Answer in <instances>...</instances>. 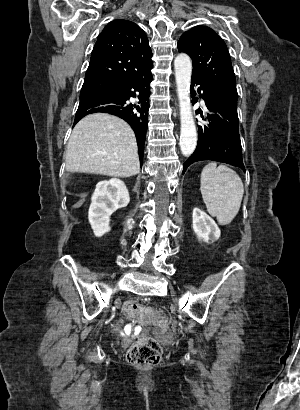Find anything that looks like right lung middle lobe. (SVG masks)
<instances>
[{"mask_svg":"<svg viewBox=\"0 0 300 410\" xmlns=\"http://www.w3.org/2000/svg\"><path fill=\"white\" fill-rule=\"evenodd\" d=\"M112 88V86L107 85L105 83H100V82H84L82 89H81V93H80V97L83 95H87V94H91L97 91H101V90H107Z\"/></svg>","mask_w":300,"mask_h":410,"instance_id":"obj_1","label":"right lung middle lobe"}]
</instances>
